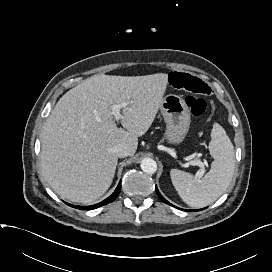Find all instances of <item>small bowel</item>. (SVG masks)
Returning a JSON list of instances; mask_svg holds the SVG:
<instances>
[{
	"label": "small bowel",
	"instance_id": "c3829d8e",
	"mask_svg": "<svg viewBox=\"0 0 272 272\" xmlns=\"http://www.w3.org/2000/svg\"><path fill=\"white\" fill-rule=\"evenodd\" d=\"M167 82L172 88L194 96H208L212 92L207 82L200 77L186 72H170L167 77Z\"/></svg>",
	"mask_w": 272,
	"mask_h": 272
}]
</instances>
